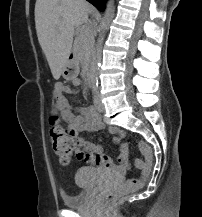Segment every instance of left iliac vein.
<instances>
[{
    "label": "left iliac vein",
    "mask_w": 202,
    "mask_h": 217,
    "mask_svg": "<svg viewBox=\"0 0 202 217\" xmlns=\"http://www.w3.org/2000/svg\"><path fill=\"white\" fill-rule=\"evenodd\" d=\"M94 104L98 112H104L105 106L101 101V97L98 91H96L94 95Z\"/></svg>",
    "instance_id": "1"
}]
</instances>
